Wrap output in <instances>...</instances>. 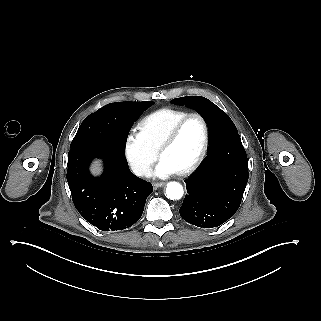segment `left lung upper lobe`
<instances>
[{"label": "left lung upper lobe", "mask_w": 321, "mask_h": 321, "mask_svg": "<svg viewBox=\"0 0 321 321\" xmlns=\"http://www.w3.org/2000/svg\"><path fill=\"white\" fill-rule=\"evenodd\" d=\"M172 102L185 104L188 107L193 108L204 118L209 128L210 142L216 141L227 135L238 134L236 126L229 116L204 97L187 96L173 99Z\"/></svg>", "instance_id": "5c2ea615"}]
</instances>
